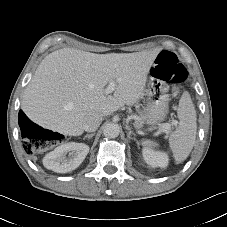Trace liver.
Here are the masks:
<instances>
[{
  "label": "liver",
  "mask_w": 227,
  "mask_h": 227,
  "mask_svg": "<svg viewBox=\"0 0 227 227\" xmlns=\"http://www.w3.org/2000/svg\"><path fill=\"white\" fill-rule=\"evenodd\" d=\"M156 51L95 54L64 48L46 56L27 85L21 108L43 128L79 136L85 118L132 106L144 92ZM110 81L116 86L106 94Z\"/></svg>",
  "instance_id": "liver-1"
}]
</instances>
